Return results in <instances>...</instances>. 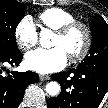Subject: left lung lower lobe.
Listing matches in <instances>:
<instances>
[{
	"mask_svg": "<svg viewBox=\"0 0 108 108\" xmlns=\"http://www.w3.org/2000/svg\"><path fill=\"white\" fill-rule=\"evenodd\" d=\"M61 85V93L47 101L48 108H98L108 91V63L79 65L76 69L53 74ZM77 90L75 99L67 98L68 91Z\"/></svg>",
	"mask_w": 108,
	"mask_h": 108,
	"instance_id": "left-lung-lower-lobe-1",
	"label": "left lung lower lobe"
}]
</instances>
